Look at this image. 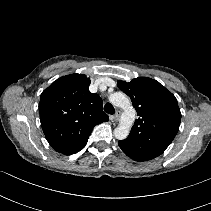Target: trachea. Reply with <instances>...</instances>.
<instances>
[{
    "label": "trachea",
    "mask_w": 211,
    "mask_h": 211,
    "mask_svg": "<svg viewBox=\"0 0 211 211\" xmlns=\"http://www.w3.org/2000/svg\"><path fill=\"white\" fill-rule=\"evenodd\" d=\"M104 111L108 114H114L115 108L112 106V104L106 103L105 106H104Z\"/></svg>",
    "instance_id": "1"
}]
</instances>
